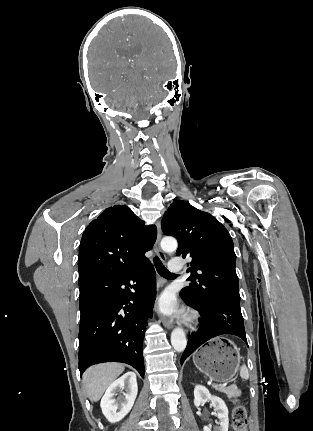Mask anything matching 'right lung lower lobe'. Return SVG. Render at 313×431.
<instances>
[{
    "instance_id": "right-lung-lower-lobe-1",
    "label": "right lung lower lobe",
    "mask_w": 313,
    "mask_h": 431,
    "mask_svg": "<svg viewBox=\"0 0 313 431\" xmlns=\"http://www.w3.org/2000/svg\"><path fill=\"white\" fill-rule=\"evenodd\" d=\"M79 289L80 374L93 364L115 361L131 365L144 377L142 342L156 298L152 264L79 281Z\"/></svg>"
}]
</instances>
